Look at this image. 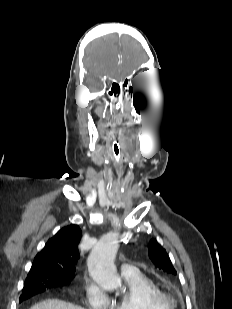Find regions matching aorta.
I'll return each mask as SVG.
<instances>
[{"instance_id":"1","label":"aorta","mask_w":232,"mask_h":309,"mask_svg":"<svg viewBox=\"0 0 232 309\" xmlns=\"http://www.w3.org/2000/svg\"><path fill=\"white\" fill-rule=\"evenodd\" d=\"M118 247V232H110L97 242L88 257L91 277L106 290H114L121 285V279L114 267Z\"/></svg>"}]
</instances>
